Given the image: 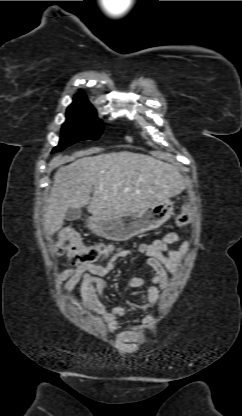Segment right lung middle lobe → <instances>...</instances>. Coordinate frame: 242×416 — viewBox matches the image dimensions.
<instances>
[{
	"instance_id": "obj_1",
	"label": "right lung middle lobe",
	"mask_w": 242,
	"mask_h": 416,
	"mask_svg": "<svg viewBox=\"0 0 242 416\" xmlns=\"http://www.w3.org/2000/svg\"><path fill=\"white\" fill-rule=\"evenodd\" d=\"M66 117L59 145L54 148L53 153L80 140H96L103 131V124L97 118L96 111L91 104L70 105Z\"/></svg>"
}]
</instances>
